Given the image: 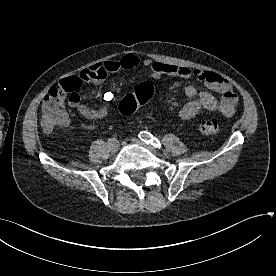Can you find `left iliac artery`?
I'll use <instances>...</instances> for the list:
<instances>
[{
    "mask_svg": "<svg viewBox=\"0 0 276 276\" xmlns=\"http://www.w3.org/2000/svg\"><path fill=\"white\" fill-rule=\"evenodd\" d=\"M138 136L143 142L149 143L158 149L162 148L161 142L157 138L153 137V135L149 132L141 131Z\"/></svg>",
    "mask_w": 276,
    "mask_h": 276,
    "instance_id": "1",
    "label": "left iliac artery"
}]
</instances>
